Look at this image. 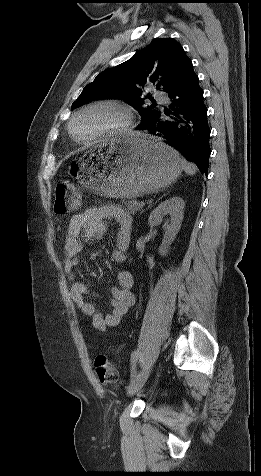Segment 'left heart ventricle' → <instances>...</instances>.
I'll return each instance as SVG.
<instances>
[{
	"label": "left heart ventricle",
	"instance_id": "left-heart-ventricle-1",
	"mask_svg": "<svg viewBox=\"0 0 261 476\" xmlns=\"http://www.w3.org/2000/svg\"><path fill=\"white\" fill-rule=\"evenodd\" d=\"M122 120L121 114L110 107H99L80 115L73 125L75 136L80 140L91 139L114 128Z\"/></svg>",
	"mask_w": 261,
	"mask_h": 476
}]
</instances>
